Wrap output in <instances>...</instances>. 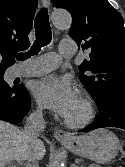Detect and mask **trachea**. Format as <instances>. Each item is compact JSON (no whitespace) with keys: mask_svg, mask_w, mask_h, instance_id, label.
<instances>
[{"mask_svg":"<svg viewBox=\"0 0 125 167\" xmlns=\"http://www.w3.org/2000/svg\"><path fill=\"white\" fill-rule=\"evenodd\" d=\"M35 36L36 40L30 51L26 54L16 55L17 60H25L30 56L37 55L43 46L48 45L52 40V31L49 22L48 12L45 8L41 9L35 19Z\"/></svg>","mask_w":125,"mask_h":167,"instance_id":"obj_1","label":"trachea"}]
</instances>
